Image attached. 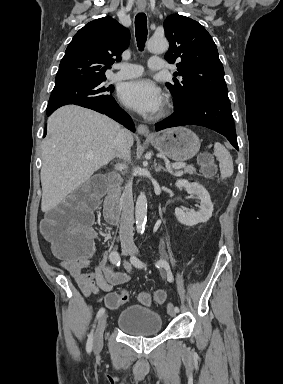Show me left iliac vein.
<instances>
[{
    "label": "left iliac vein",
    "instance_id": "obj_1",
    "mask_svg": "<svg viewBox=\"0 0 283 384\" xmlns=\"http://www.w3.org/2000/svg\"><path fill=\"white\" fill-rule=\"evenodd\" d=\"M138 251L136 249H133V254H136ZM176 313L175 310H174V307L173 305L170 303L168 305V314L171 316V317H175L176 316Z\"/></svg>",
    "mask_w": 283,
    "mask_h": 384
}]
</instances>
